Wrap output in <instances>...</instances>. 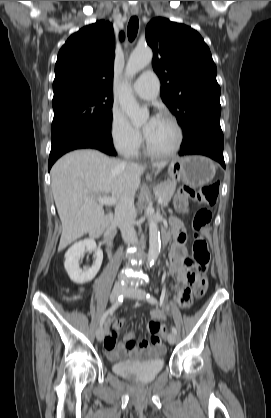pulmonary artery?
<instances>
[{
    "label": "pulmonary artery",
    "mask_w": 271,
    "mask_h": 418,
    "mask_svg": "<svg viewBox=\"0 0 271 418\" xmlns=\"http://www.w3.org/2000/svg\"><path fill=\"white\" fill-rule=\"evenodd\" d=\"M133 90L140 98L151 100L159 93V80L153 71L143 72L133 84Z\"/></svg>",
    "instance_id": "obj_1"
}]
</instances>
